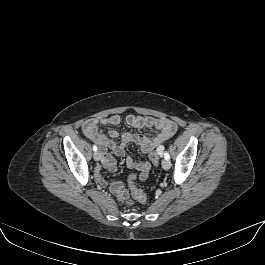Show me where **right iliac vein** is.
<instances>
[{"mask_svg": "<svg viewBox=\"0 0 265 265\" xmlns=\"http://www.w3.org/2000/svg\"><path fill=\"white\" fill-rule=\"evenodd\" d=\"M93 157L95 161H99L101 158V153L99 151H96Z\"/></svg>", "mask_w": 265, "mask_h": 265, "instance_id": "right-iliac-vein-1", "label": "right iliac vein"}]
</instances>
